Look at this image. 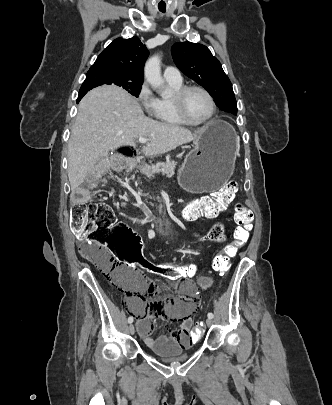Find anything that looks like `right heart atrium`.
<instances>
[{"instance_id": "d8ad5b80", "label": "right heart atrium", "mask_w": 332, "mask_h": 405, "mask_svg": "<svg viewBox=\"0 0 332 405\" xmlns=\"http://www.w3.org/2000/svg\"><path fill=\"white\" fill-rule=\"evenodd\" d=\"M137 99L148 115L155 116L158 109V99L154 96L147 83H143L139 88Z\"/></svg>"}]
</instances>
